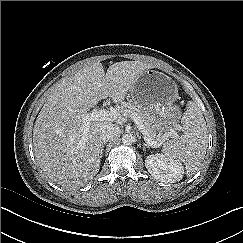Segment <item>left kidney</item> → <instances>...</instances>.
I'll return each instance as SVG.
<instances>
[{"mask_svg": "<svg viewBox=\"0 0 243 243\" xmlns=\"http://www.w3.org/2000/svg\"><path fill=\"white\" fill-rule=\"evenodd\" d=\"M145 166L156 180L164 183H175L183 178L184 168L181 162L175 159H167L158 154L149 155Z\"/></svg>", "mask_w": 243, "mask_h": 243, "instance_id": "left-kidney-1", "label": "left kidney"}]
</instances>
